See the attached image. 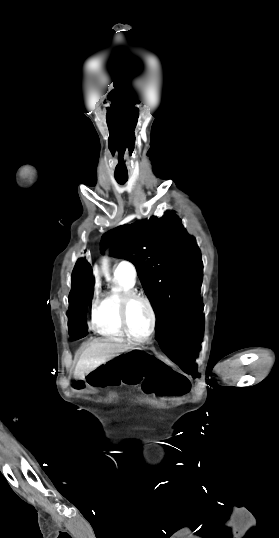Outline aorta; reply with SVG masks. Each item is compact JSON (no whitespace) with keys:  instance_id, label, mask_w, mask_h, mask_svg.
<instances>
[{"instance_id":"aorta-1","label":"aorta","mask_w":279,"mask_h":538,"mask_svg":"<svg viewBox=\"0 0 279 538\" xmlns=\"http://www.w3.org/2000/svg\"><path fill=\"white\" fill-rule=\"evenodd\" d=\"M108 260H109V257H108V254H106V256L104 257V260H103V269H104L106 279L109 281L110 277H109V273H108V264H107Z\"/></svg>"}]
</instances>
